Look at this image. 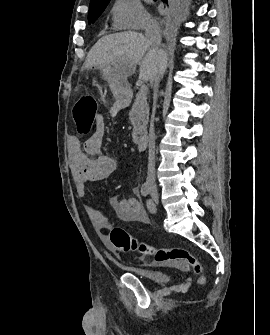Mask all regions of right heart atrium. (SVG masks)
Wrapping results in <instances>:
<instances>
[{
  "label": "right heart atrium",
  "mask_w": 270,
  "mask_h": 335,
  "mask_svg": "<svg viewBox=\"0 0 270 335\" xmlns=\"http://www.w3.org/2000/svg\"><path fill=\"white\" fill-rule=\"evenodd\" d=\"M112 13L118 29L139 31V25H158L139 0H114Z\"/></svg>",
  "instance_id": "1"
}]
</instances>
